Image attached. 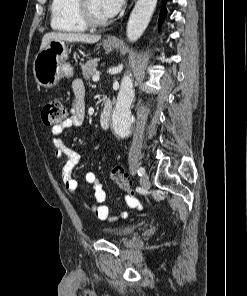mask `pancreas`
<instances>
[{"instance_id":"cf45deb5","label":"pancreas","mask_w":247,"mask_h":296,"mask_svg":"<svg viewBox=\"0 0 247 296\" xmlns=\"http://www.w3.org/2000/svg\"><path fill=\"white\" fill-rule=\"evenodd\" d=\"M97 59L90 60L81 65L82 73L85 79L90 80L97 73Z\"/></svg>"}]
</instances>
